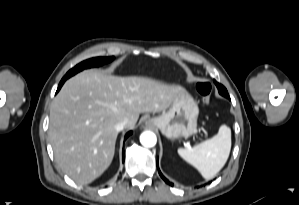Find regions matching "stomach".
<instances>
[{
	"instance_id": "obj_1",
	"label": "stomach",
	"mask_w": 299,
	"mask_h": 205,
	"mask_svg": "<svg viewBox=\"0 0 299 205\" xmlns=\"http://www.w3.org/2000/svg\"><path fill=\"white\" fill-rule=\"evenodd\" d=\"M198 114L199 109L195 100L183 90L167 111L149 118L146 124L158 128L168 139L175 140L196 133Z\"/></svg>"
}]
</instances>
